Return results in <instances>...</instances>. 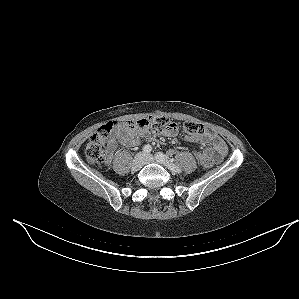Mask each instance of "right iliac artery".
I'll use <instances>...</instances> for the list:
<instances>
[{
	"mask_svg": "<svg viewBox=\"0 0 299 299\" xmlns=\"http://www.w3.org/2000/svg\"><path fill=\"white\" fill-rule=\"evenodd\" d=\"M152 151V147L148 144V145H145L144 147H143V152L144 153H150Z\"/></svg>",
	"mask_w": 299,
	"mask_h": 299,
	"instance_id": "82829eb1",
	"label": "right iliac artery"
}]
</instances>
